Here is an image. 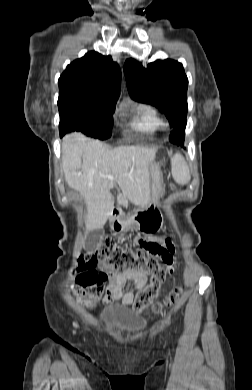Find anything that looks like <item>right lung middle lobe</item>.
Segmentation results:
<instances>
[{
    "label": "right lung middle lobe",
    "instance_id": "right-lung-middle-lobe-1",
    "mask_svg": "<svg viewBox=\"0 0 252 390\" xmlns=\"http://www.w3.org/2000/svg\"><path fill=\"white\" fill-rule=\"evenodd\" d=\"M115 108L103 105H69L59 107V132L62 137L66 133L78 131L83 134L107 139L111 136Z\"/></svg>",
    "mask_w": 252,
    "mask_h": 390
}]
</instances>
